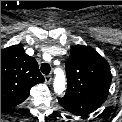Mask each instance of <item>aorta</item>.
Listing matches in <instances>:
<instances>
[{
	"label": "aorta",
	"mask_w": 122,
	"mask_h": 122,
	"mask_svg": "<svg viewBox=\"0 0 122 122\" xmlns=\"http://www.w3.org/2000/svg\"><path fill=\"white\" fill-rule=\"evenodd\" d=\"M66 88V78L65 75L61 72L56 75L54 80V91L57 94H62Z\"/></svg>",
	"instance_id": "aorta-1"
}]
</instances>
